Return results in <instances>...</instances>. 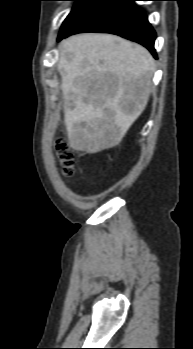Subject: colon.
<instances>
[{
	"mask_svg": "<svg viewBox=\"0 0 193 349\" xmlns=\"http://www.w3.org/2000/svg\"><path fill=\"white\" fill-rule=\"evenodd\" d=\"M55 154L63 175L71 177L74 174L75 157L64 140L58 139L55 142Z\"/></svg>",
	"mask_w": 193,
	"mask_h": 349,
	"instance_id": "5ec220e1",
	"label": "colon"
}]
</instances>
